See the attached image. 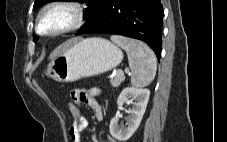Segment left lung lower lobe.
Returning a JSON list of instances; mask_svg holds the SVG:
<instances>
[{
    "mask_svg": "<svg viewBox=\"0 0 227 142\" xmlns=\"http://www.w3.org/2000/svg\"><path fill=\"white\" fill-rule=\"evenodd\" d=\"M163 8L160 0H106L76 33L117 34L147 43L161 57Z\"/></svg>",
    "mask_w": 227,
    "mask_h": 142,
    "instance_id": "1",
    "label": "left lung lower lobe"
}]
</instances>
